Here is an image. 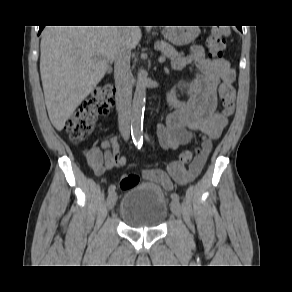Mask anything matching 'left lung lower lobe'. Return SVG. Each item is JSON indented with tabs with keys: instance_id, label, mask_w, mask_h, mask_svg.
I'll list each match as a JSON object with an SVG mask.
<instances>
[{
	"instance_id": "1",
	"label": "left lung lower lobe",
	"mask_w": 292,
	"mask_h": 292,
	"mask_svg": "<svg viewBox=\"0 0 292 292\" xmlns=\"http://www.w3.org/2000/svg\"><path fill=\"white\" fill-rule=\"evenodd\" d=\"M237 28H238L240 31H242V27H241V26H239V27L237 26Z\"/></svg>"
}]
</instances>
